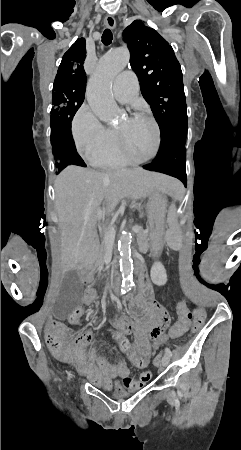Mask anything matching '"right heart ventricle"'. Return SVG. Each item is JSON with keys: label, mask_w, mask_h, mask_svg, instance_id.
I'll use <instances>...</instances> for the list:
<instances>
[{"label": "right heart ventricle", "mask_w": 241, "mask_h": 450, "mask_svg": "<svg viewBox=\"0 0 241 450\" xmlns=\"http://www.w3.org/2000/svg\"><path fill=\"white\" fill-rule=\"evenodd\" d=\"M107 129L104 128V134ZM103 134V136H104ZM119 144L114 141V138L112 136L110 141V147L109 150L99 156H92L89 155L88 158H85L87 163L94 166V167H120L125 166L128 163H130L133 158H125L121 157L120 153L122 152L121 149H119ZM128 153V152H126Z\"/></svg>", "instance_id": "1"}]
</instances>
